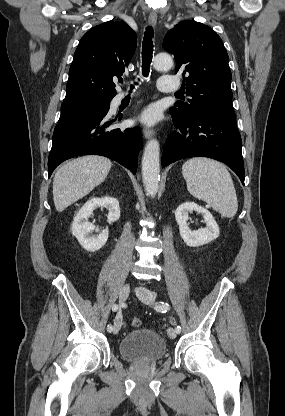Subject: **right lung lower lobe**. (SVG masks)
<instances>
[{
	"instance_id": "1",
	"label": "right lung lower lobe",
	"mask_w": 285,
	"mask_h": 416,
	"mask_svg": "<svg viewBox=\"0 0 285 416\" xmlns=\"http://www.w3.org/2000/svg\"><path fill=\"white\" fill-rule=\"evenodd\" d=\"M107 114L97 111L60 116L48 158L49 177L63 161L91 154L106 156L136 173L142 146L140 129L113 128L114 120L108 121Z\"/></svg>"
}]
</instances>
